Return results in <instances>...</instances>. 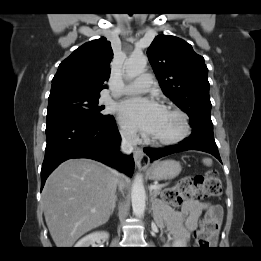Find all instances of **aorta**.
<instances>
[{"mask_svg":"<svg viewBox=\"0 0 261 261\" xmlns=\"http://www.w3.org/2000/svg\"><path fill=\"white\" fill-rule=\"evenodd\" d=\"M147 65V58L142 54H133L124 63L126 77L133 79L144 72ZM146 193L143 185V179L140 174L134 178L131 189V201L133 213L137 217H142L145 211Z\"/></svg>","mask_w":261,"mask_h":261,"instance_id":"aorta-1","label":"aorta"}]
</instances>
